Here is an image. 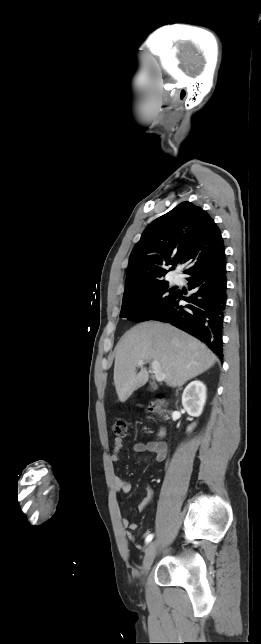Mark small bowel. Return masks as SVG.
I'll return each instance as SVG.
<instances>
[{
    "instance_id": "small-bowel-1",
    "label": "small bowel",
    "mask_w": 261,
    "mask_h": 644,
    "mask_svg": "<svg viewBox=\"0 0 261 644\" xmlns=\"http://www.w3.org/2000/svg\"><path fill=\"white\" fill-rule=\"evenodd\" d=\"M122 447H123L122 439L115 438L114 447L110 454L111 461L113 462L119 461ZM132 450L133 452L138 454L140 453L153 454L155 457V460L158 462L164 461L167 456V446L162 442H155V441H151L148 443L137 442L133 445ZM113 483L117 492L128 494L132 490V485L128 481L123 480L118 475H114ZM153 496H154V491L150 486H148L146 488V496L141 500V502L138 505V510L140 512L145 510V508L151 503ZM121 524L126 529L125 538L128 541H134L135 537L132 532L137 530L138 525L136 523L130 522V520L127 517H122ZM148 535H150V532L146 531L144 533V537L147 538ZM136 546L137 548H141L139 544H136Z\"/></svg>"
}]
</instances>
